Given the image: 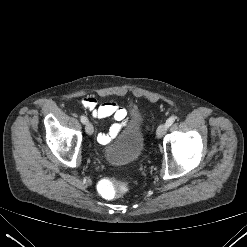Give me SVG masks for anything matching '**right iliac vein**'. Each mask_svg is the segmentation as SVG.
<instances>
[{"label":"right iliac vein","mask_w":247,"mask_h":247,"mask_svg":"<svg viewBox=\"0 0 247 247\" xmlns=\"http://www.w3.org/2000/svg\"><path fill=\"white\" fill-rule=\"evenodd\" d=\"M85 131L88 135H92L93 134V125L90 122H87L85 125Z\"/></svg>","instance_id":"63e3f726"}]
</instances>
